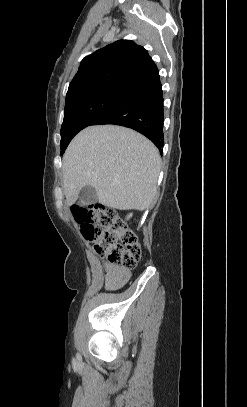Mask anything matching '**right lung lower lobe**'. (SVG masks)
<instances>
[{
    "mask_svg": "<svg viewBox=\"0 0 247 407\" xmlns=\"http://www.w3.org/2000/svg\"><path fill=\"white\" fill-rule=\"evenodd\" d=\"M163 92L159 77L137 90L93 125L115 124L134 129L150 139L162 153Z\"/></svg>",
    "mask_w": 247,
    "mask_h": 407,
    "instance_id": "right-lung-lower-lobe-1",
    "label": "right lung lower lobe"
}]
</instances>
